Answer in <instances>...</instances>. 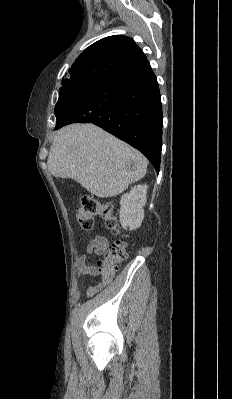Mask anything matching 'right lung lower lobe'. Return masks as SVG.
<instances>
[{"mask_svg": "<svg viewBox=\"0 0 232 399\" xmlns=\"http://www.w3.org/2000/svg\"><path fill=\"white\" fill-rule=\"evenodd\" d=\"M162 108L148 60L111 76L60 110L55 129L93 123L141 151L160 170Z\"/></svg>", "mask_w": 232, "mask_h": 399, "instance_id": "obj_1", "label": "right lung lower lobe"}]
</instances>
